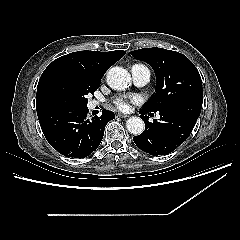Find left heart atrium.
I'll use <instances>...</instances> for the list:
<instances>
[{"label": "left heart atrium", "instance_id": "left-heart-atrium-1", "mask_svg": "<svg viewBox=\"0 0 240 240\" xmlns=\"http://www.w3.org/2000/svg\"><path fill=\"white\" fill-rule=\"evenodd\" d=\"M138 102V98L135 96L123 97L119 96L113 100L114 105L120 111H127L130 108V103Z\"/></svg>", "mask_w": 240, "mask_h": 240}]
</instances>
